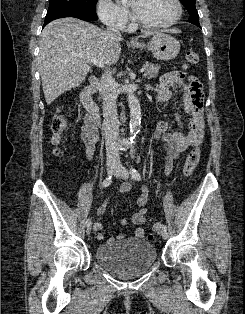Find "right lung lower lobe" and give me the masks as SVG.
<instances>
[{
	"label": "right lung lower lobe",
	"instance_id": "1",
	"mask_svg": "<svg viewBox=\"0 0 245 314\" xmlns=\"http://www.w3.org/2000/svg\"><path fill=\"white\" fill-rule=\"evenodd\" d=\"M64 17H75V18H79L85 21H95L98 19L96 13H90V12H86L82 10H71V9L53 10V11L47 12L44 26L55 19L64 18Z\"/></svg>",
	"mask_w": 245,
	"mask_h": 314
}]
</instances>
